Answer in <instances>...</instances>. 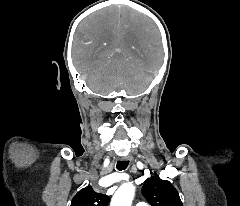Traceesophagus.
<instances>
[{"mask_svg":"<svg viewBox=\"0 0 240 206\" xmlns=\"http://www.w3.org/2000/svg\"><path fill=\"white\" fill-rule=\"evenodd\" d=\"M120 160L121 161H128V160H131V157H129V156L121 157Z\"/></svg>","mask_w":240,"mask_h":206,"instance_id":"1","label":"esophagus"}]
</instances>
